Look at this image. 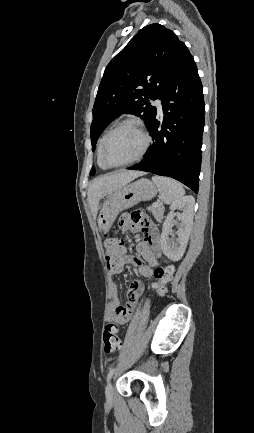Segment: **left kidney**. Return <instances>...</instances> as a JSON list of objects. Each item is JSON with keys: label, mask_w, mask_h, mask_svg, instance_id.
<instances>
[{"label": "left kidney", "mask_w": 254, "mask_h": 433, "mask_svg": "<svg viewBox=\"0 0 254 433\" xmlns=\"http://www.w3.org/2000/svg\"><path fill=\"white\" fill-rule=\"evenodd\" d=\"M195 200L193 196H185L175 201L170 206V212L163 223V229L160 239L161 249L164 255L172 261H178L182 258L187 247L190 230L193 224ZM181 210V224L177 230V243L169 239V233L174 225V211Z\"/></svg>", "instance_id": "1"}]
</instances>
